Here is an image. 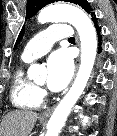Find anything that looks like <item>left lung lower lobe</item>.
I'll use <instances>...</instances> for the list:
<instances>
[{
    "instance_id": "obj_1",
    "label": "left lung lower lobe",
    "mask_w": 117,
    "mask_h": 136,
    "mask_svg": "<svg viewBox=\"0 0 117 136\" xmlns=\"http://www.w3.org/2000/svg\"><path fill=\"white\" fill-rule=\"evenodd\" d=\"M90 15L92 17L91 19H92V21L94 23V26L96 28V31H97V36H98V41H99V43H98V45H99L98 53H101V51H102V47H101V44H102L101 28H100V26L98 24V21H97V18L95 16V14L91 13Z\"/></svg>"
}]
</instances>
